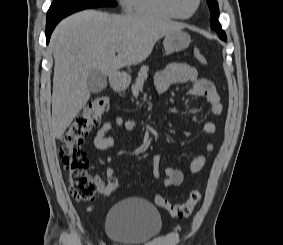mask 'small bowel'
Here are the masks:
<instances>
[{"mask_svg": "<svg viewBox=\"0 0 283 245\" xmlns=\"http://www.w3.org/2000/svg\"><path fill=\"white\" fill-rule=\"evenodd\" d=\"M177 83H190L192 87L188 94L190 96L204 97L209 104L211 114H221L222 104L214 84L210 80L200 77L195 67L187 63H170L156 74L155 87L159 95H163L171 85ZM139 124L140 123L137 120H124L121 117H115L111 121H106L97 131L93 140V145L98 150L109 149L115 144V138L109 135L114 127H121L125 131L130 132L135 130ZM203 130L205 134L208 135L209 140L206 143L204 153L198 155L191 161L188 168L190 174L199 172L211 158L216 149V144L213 141V136L216 131L215 125L212 122H206L203 126ZM160 161L161 158L159 155H153L152 174L154 178L162 181L167 187L179 186L184 179L183 172L173 167H167L163 174L160 171ZM114 174L115 171L112 167L106 168L105 175L108 179L113 178ZM95 181L97 184V191L100 194H103L106 185L105 182L99 177H95Z\"/></svg>", "mask_w": 283, "mask_h": 245, "instance_id": "c3829d8e", "label": "small bowel"}]
</instances>
